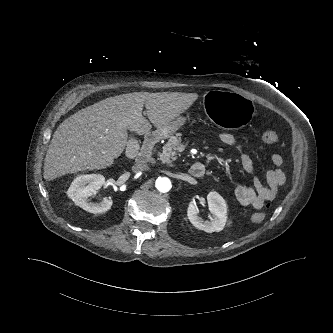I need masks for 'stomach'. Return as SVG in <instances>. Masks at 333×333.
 <instances>
[{
    "instance_id": "stomach-1",
    "label": "stomach",
    "mask_w": 333,
    "mask_h": 333,
    "mask_svg": "<svg viewBox=\"0 0 333 333\" xmlns=\"http://www.w3.org/2000/svg\"><path fill=\"white\" fill-rule=\"evenodd\" d=\"M204 116L211 122L225 129L246 126L252 119L253 107L244 96L231 95L222 89H215L206 94L202 102ZM189 115L179 117L168 125L157 128V134L168 138L179 130L188 120Z\"/></svg>"
}]
</instances>
